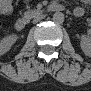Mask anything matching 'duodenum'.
I'll use <instances>...</instances> for the list:
<instances>
[{
  "instance_id": "obj_1",
  "label": "duodenum",
  "mask_w": 91,
  "mask_h": 91,
  "mask_svg": "<svg viewBox=\"0 0 91 91\" xmlns=\"http://www.w3.org/2000/svg\"><path fill=\"white\" fill-rule=\"evenodd\" d=\"M50 10L53 12H61L63 10V5L60 3L52 4ZM28 24V20L26 18H18L14 22V27L16 30L21 31L23 30Z\"/></svg>"
}]
</instances>
